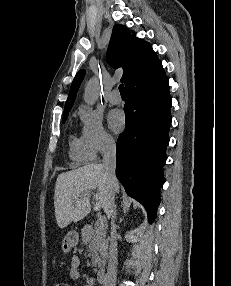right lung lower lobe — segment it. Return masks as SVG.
Masks as SVG:
<instances>
[{
  "label": "right lung lower lobe",
  "instance_id": "right-lung-lower-lobe-1",
  "mask_svg": "<svg viewBox=\"0 0 231 286\" xmlns=\"http://www.w3.org/2000/svg\"><path fill=\"white\" fill-rule=\"evenodd\" d=\"M126 126L116 145V176L127 194L156 217L172 122L169 80L162 69L126 86Z\"/></svg>",
  "mask_w": 231,
  "mask_h": 286
}]
</instances>
